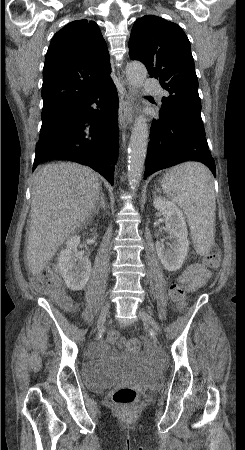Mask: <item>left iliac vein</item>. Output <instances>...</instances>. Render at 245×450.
Masks as SVG:
<instances>
[{"label": "left iliac vein", "instance_id": "1", "mask_svg": "<svg viewBox=\"0 0 245 450\" xmlns=\"http://www.w3.org/2000/svg\"><path fill=\"white\" fill-rule=\"evenodd\" d=\"M138 315L142 321L146 322L151 326L152 330H154L156 333L159 332L158 323L147 311H145L144 309H138Z\"/></svg>", "mask_w": 245, "mask_h": 450}]
</instances>
